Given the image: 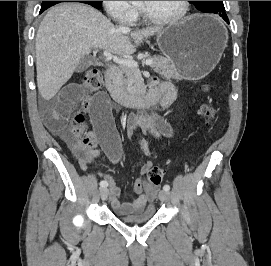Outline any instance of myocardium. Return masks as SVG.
I'll list each match as a JSON object with an SVG mask.
<instances>
[{"label":"myocardium","mask_w":271,"mask_h":266,"mask_svg":"<svg viewBox=\"0 0 271 266\" xmlns=\"http://www.w3.org/2000/svg\"><path fill=\"white\" fill-rule=\"evenodd\" d=\"M190 10L189 1H181V10L174 16L166 17V18H157L148 14L144 9H142L143 18L153 24L156 25H172L181 22L184 20Z\"/></svg>","instance_id":"obj_1"}]
</instances>
